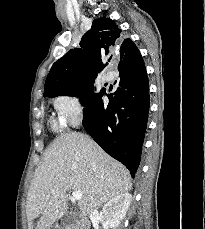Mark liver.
<instances>
[{"mask_svg": "<svg viewBox=\"0 0 205 229\" xmlns=\"http://www.w3.org/2000/svg\"><path fill=\"white\" fill-rule=\"evenodd\" d=\"M132 188L130 174L89 136L67 133L46 149L27 195L29 229H49L68 209L67 192H82L78 206L83 216Z\"/></svg>", "mask_w": 205, "mask_h": 229, "instance_id": "6515ba94", "label": "liver"}]
</instances>
